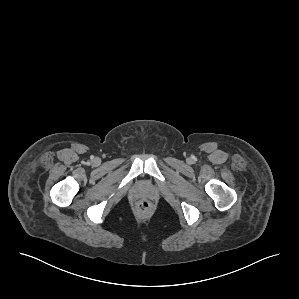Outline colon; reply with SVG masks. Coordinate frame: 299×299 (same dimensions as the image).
Returning <instances> with one entry per match:
<instances>
[{"label": "colon", "mask_w": 299, "mask_h": 299, "mask_svg": "<svg viewBox=\"0 0 299 299\" xmlns=\"http://www.w3.org/2000/svg\"><path fill=\"white\" fill-rule=\"evenodd\" d=\"M151 209H152V205L147 200H140L136 204V211L141 215L148 214L151 211Z\"/></svg>", "instance_id": "colon-1"}]
</instances>
